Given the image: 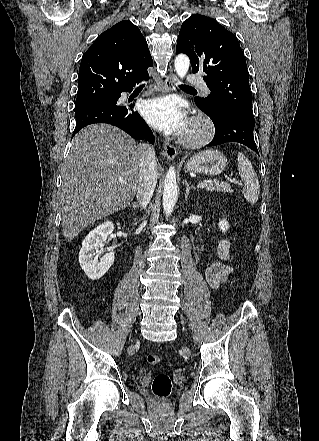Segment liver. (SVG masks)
I'll return each mask as SVG.
<instances>
[{"label":"liver","instance_id":"obj_1","mask_svg":"<svg viewBox=\"0 0 319 441\" xmlns=\"http://www.w3.org/2000/svg\"><path fill=\"white\" fill-rule=\"evenodd\" d=\"M141 157L140 144L112 125H89L74 136L62 167L60 193L66 242L89 224L132 202L138 190Z\"/></svg>","mask_w":319,"mask_h":441}]
</instances>
